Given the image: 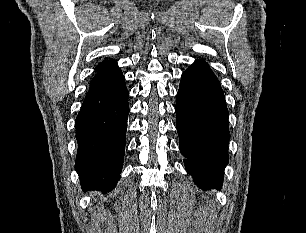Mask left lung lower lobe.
Returning a JSON list of instances; mask_svg holds the SVG:
<instances>
[{
	"mask_svg": "<svg viewBox=\"0 0 306 233\" xmlns=\"http://www.w3.org/2000/svg\"><path fill=\"white\" fill-rule=\"evenodd\" d=\"M179 147L200 188H220L228 163V110L209 65L197 60L181 76L176 100Z\"/></svg>",
	"mask_w": 306,
	"mask_h": 233,
	"instance_id": "1",
	"label": "left lung lower lobe"
}]
</instances>
